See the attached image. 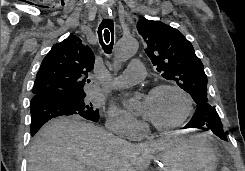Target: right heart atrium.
<instances>
[{"label": "right heart atrium", "mask_w": 245, "mask_h": 171, "mask_svg": "<svg viewBox=\"0 0 245 171\" xmlns=\"http://www.w3.org/2000/svg\"><path fill=\"white\" fill-rule=\"evenodd\" d=\"M107 124L115 132L130 138L136 137L142 129V124L138 120L117 107L110 109Z\"/></svg>", "instance_id": "obj_1"}]
</instances>
